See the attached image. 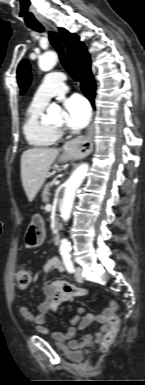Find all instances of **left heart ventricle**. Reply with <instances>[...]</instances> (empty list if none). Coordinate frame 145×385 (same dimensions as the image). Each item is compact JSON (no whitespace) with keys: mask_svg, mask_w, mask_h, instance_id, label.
<instances>
[{"mask_svg":"<svg viewBox=\"0 0 145 385\" xmlns=\"http://www.w3.org/2000/svg\"><path fill=\"white\" fill-rule=\"evenodd\" d=\"M57 126H60L61 125V122L60 123H58V124H56Z\"/></svg>","mask_w":145,"mask_h":385,"instance_id":"obj_1","label":"left heart ventricle"}]
</instances>
